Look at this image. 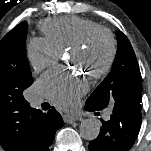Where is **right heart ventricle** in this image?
Returning <instances> with one entry per match:
<instances>
[{"instance_id": "obj_1", "label": "right heart ventricle", "mask_w": 151, "mask_h": 151, "mask_svg": "<svg viewBox=\"0 0 151 151\" xmlns=\"http://www.w3.org/2000/svg\"><path fill=\"white\" fill-rule=\"evenodd\" d=\"M98 23L76 16L47 19L41 22L40 29L50 42L61 52L71 49Z\"/></svg>"}]
</instances>
